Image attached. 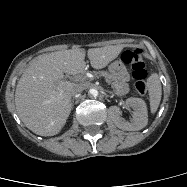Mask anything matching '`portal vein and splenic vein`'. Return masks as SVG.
I'll use <instances>...</instances> for the list:
<instances>
[{
    "label": "portal vein and splenic vein",
    "instance_id": "obj_1",
    "mask_svg": "<svg viewBox=\"0 0 187 187\" xmlns=\"http://www.w3.org/2000/svg\"><path fill=\"white\" fill-rule=\"evenodd\" d=\"M76 79H80V77H76ZM105 81L110 84V81L108 79H105Z\"/></svg>",
    "mask_w": 187,
    "mask_h": 187
}]
</instances>
